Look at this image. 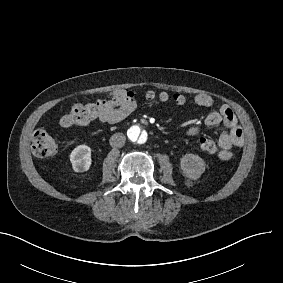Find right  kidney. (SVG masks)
Listing matches in <instances>:
<instances>
[{"label": "right kidney", "mask_w": 283, "mask_h": 283, "mask_svg": "<svg viewBox=\"0 0 283 283\" xmlns=\"http://www.w3.org/2000/svg\"><path fill=\"white\" fill-rule=\"evenodd\" d=\"M70 161L75 172H85L91 166V149L87 145L77 146L70 154Z\"/></svg>", "instance_id": "1"}]
</instances>
